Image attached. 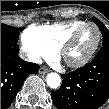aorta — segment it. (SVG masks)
Returning <instances> with one entry per match:
<instances>
[{"label":"aorta","instance_id":"762f6f07","mask_svg":"<svg viewBox=\"0 0 109 109\" xmlns=\"http://www.w3.org/2000/svg\"><path fill=\"white\" fill-rule=\"evenodd\" d=\"M47 84L52 89H57L61 85V78L57 73H49L46 77Z\"/></svg>","mask_w":109,"mask_h":109}]
</instances>
